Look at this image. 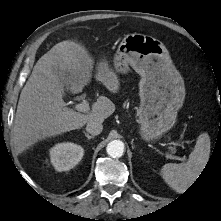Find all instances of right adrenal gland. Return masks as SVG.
I'll return each mask as SVG.
<instances>
[{"label":"right adrenal gland","instance_id":"1","mask_svg":"<svg viewBox=\"0 0 221 221\" xmlns=\"http://www.w3.org/2000/svg\"><path fill=\"white\" fill-rule=\"evenodd\" d=\"M84 135L87 137L88 140L94 138L93 135H89L88 133H86L85 131H83Z\"/></svg>","mask_w":221,"mask_h":221}]
</instances>
